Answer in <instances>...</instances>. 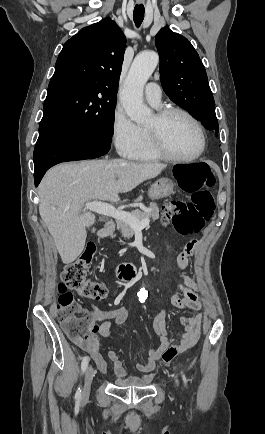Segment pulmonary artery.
<instances>
[{
    "instance_id": "obj_1",
    "label": "pulmonary artery",
    "mask_w": 265,
    "mask_h": 434,
    "mask_svg": "<svg viewBox=\"0 0 265 434\" xmlns=\"http://www.w3.org/2000/svg\"><path fill=\"white\" fill-rule=\"evenodd\" d=\"M147 90L145 91L146 99L149 103L157 106L159 102V88L157 81H148L147 82Z\"/></svg>"
}]
</instances>
